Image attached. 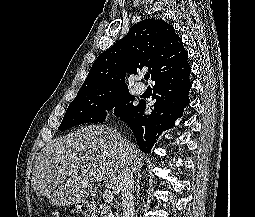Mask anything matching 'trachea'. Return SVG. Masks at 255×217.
Masks as SVG:
<instances>
[{
    "mask_svg": "<svg viewBox=\"0 0 255 217\" xmlns=\"http://www.w3.org/2000/svg\"><path fill=\"white\" fill-rule=\"evenodd\" d=\"M144 77L146 80H148L150 78V74H146Z\"/></svg>",
    "mask_w": 255,
    "mask_h": 217,
    "instance_id": "trachea-1",
    "label": "trachea"
}]
</instances>
